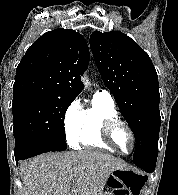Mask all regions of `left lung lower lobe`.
Here are the masks:
<instances>
[{"mask_svg":"<svg viewBox=\"0 0 178 195\" xmlns=\"http://www.w3.org/2000/svg\"><path fill=\"white\" fill-rule=\"evenodd\" d=\"M158 151L143 154L133 158V163L147 173H152L156 166Z\"/></svg>","mask_w":178,"mask_h":195,"instance_id":"0a47b994","label":"left lung lower lobe"}]
</instances>
